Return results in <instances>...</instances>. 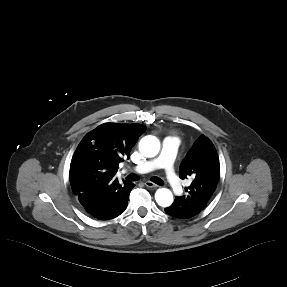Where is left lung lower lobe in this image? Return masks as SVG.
<instances>
[{"label": "left lung lower lobe", "instance_id": "0a47b994", "mask_svg": "<svg viewBox=\"0 0 287 287\" xmlns=\"http://www.w3.org/2000/svg\"><path fill=\"white\" fill-rule=\"evenodd\" d=\"M165 212L177 218H190L199 214L201 211L196 208H188L180 197H176L173 204L170 207L165 208Z\"/></svg>", "mask_w": 287, "mask_h": 287}]
</instances>
